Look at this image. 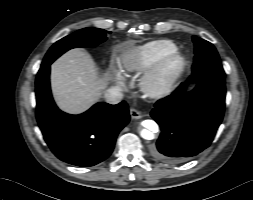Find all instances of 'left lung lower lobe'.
Returning <instances> with one entry per match:
<instances>
[{"instance_id":"1","label":"left lung lower lobe","mask_w":253,"mask_h":200,"mask_svg":"<svg viewBox=\"0 0 253 200\" xmlns=\"http://www.w3.org/2000/svg\"><path fill=\"white\" fill-rule=\"evenodd\" d=\"M182 83L171 95L157 101L151 112L161 128L151 155L166 163H181L206 149L223 119L225 79L204 76Z\"/></svg>"}]
</instances>
